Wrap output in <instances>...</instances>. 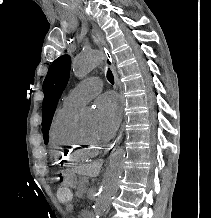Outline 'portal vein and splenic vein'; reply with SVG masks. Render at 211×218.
<instances>
[{
    "mask_svg": "<svg viewBox=\"0 0 211 218\" xmlns=\"http://www.w3.org/2000/svg\"><path fill=\"white\" fill-rule=\"evenodd\" d=\"M84 191H87V188H84Z\"/></svg>",
    "mask_w": 211,
    "mask_h": 218,
    "instance_id": "portal-vein-and-splenic-vein-1",
    "label": "portal vein and splenic vein"
}]
</instances>
